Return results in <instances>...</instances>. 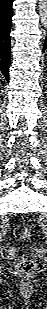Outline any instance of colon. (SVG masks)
<instances>
[{"instance_id":"1","label":"colon","mask_w":47,"mask_h":309,"mask_svg":"<svg viewBox=\"0 0 47 309\" xmlns=\"http://www.w3.org/2000/svg\"><path fill=\"white\" fill-rule=\"evenodd\" d=\"M31 236V230L28 228H24L21 232V237L23 239H28ZM36 268V263L34 260L30 258H23L18 264V270L22 274H30Z\"/></svg>"}]
</instances>
